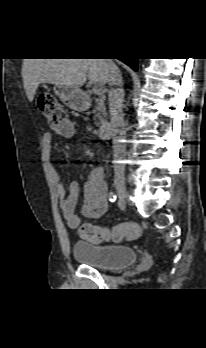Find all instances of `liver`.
I'll use <instances>...</instances> for the list:
<instances>
[{"label": "liver", "mask_w": 206, "mask_h": 348, "mask_svg": "<svg viewBox=\"0 0 206 348\" xmlns=\"http://www.w3.org/2000/svg\"><path fill=\"white\" fill-rule=\"evenodd\" d=\"M22 78L26 96L32 102L40 83L80 89L88 78L91 83L105 85L109 68L104 59H24Z\"/></svg>", "instance_id": "1"}]
</instances>
